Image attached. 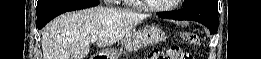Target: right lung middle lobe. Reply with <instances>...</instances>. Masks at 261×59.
I'll return each mask as SVG.
<instances>
[{"label": "right lung middle lobe", "instance_id": "dd1d6c3e", "mask_svg": "<svg viewBox=\"0 0 261 59\" xmlns=\"http://www.w3.org/2000/svg\"><path fill=\"white\" fill-rule=\"evenodd\" d=\"M53 0H38L37 2V11L43 8L45 5L51 3Z\"/></svg>", "mask_w": 261, "mask_h": 59}]
</instances>
